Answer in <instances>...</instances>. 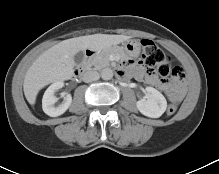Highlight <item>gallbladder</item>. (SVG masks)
I'll use <instances>...</instances> for the list:
<instances>
[{"mask_svg": "<svg viewBox=\"0 0 219 174\" xmlns=\"http://www.w3.org/2000/svg\"><path fill=\"white\" fill-rule=\"evenodd\" d=\"M84 59V53L83 52H78L75 56H74V60L76 64H80Z\"/></svg>", "mask_w": 219, "mask_h": 174, "instance_id": "gallbladder-1", "label": "gallbladder"}]
</instances>
